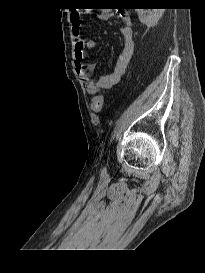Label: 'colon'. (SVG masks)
Returning <instances> with one entry per match:
<instances>
[{"label": "colon", "mask_w": 205, "mask_h": 273, "mask_svg": "<svg viewBox=\"0 0 205 273\" xmlns=\"http://www.w3.org/2000/svg\"><path fill=\"white\" fill-rule=\"evenodd\" d=\"M103 106V96L97 95L93 98L91 107L95 112H99Z\"/></svg>", "instance_id": "1"}]
</instances>
